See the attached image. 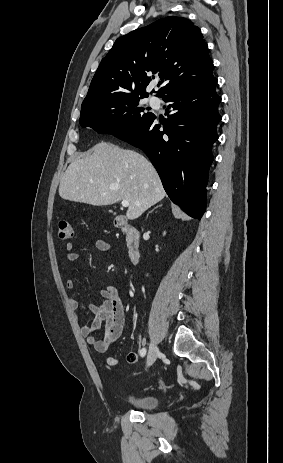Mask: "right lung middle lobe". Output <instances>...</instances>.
Wrapping results in <instances>:
<instances>
[{
    "label": "right lung middle lobe",
    "mask_w": 283,
    "mask_h": 463,
    "mask_svg": "<svg viewBox=\"0 0 283 463\" xmlns=\"http://www.w3.org/2000/svg\"><path fill=\"white\" fill-rule=\"evenodd\" d=\"M145 96H109L81 106L79 123L102 134L114 136L132 132L148 121L153 114L140 107Z\"/></svg>",
    "instance_id": "1"
}]
</instances>
